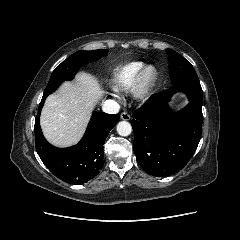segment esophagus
<instances>
[{"mask_svg": "<svg viewBox=\"0 0 240 240\" xmlns=\"http://www.w3.org/2000/svg\"><path fill=\"white\" fill-rule=\"evenodd\" d=\"M121 119L124 121H129L131 119V116L129 113L123 112V113H121Z\"/></svg>", "mask_w": 240, "mask_h": 240, "instance_id": "34e87169", "label": "esophagus"}]
</instances>
